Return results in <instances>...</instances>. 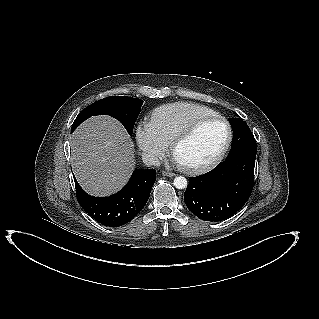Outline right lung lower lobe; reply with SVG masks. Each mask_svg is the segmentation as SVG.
<instances>
[{
  "mask_svg": "<svg viewBox=\"0 0 319 319\" xmlns=\"http://www.w3.org/2000/svg\"><path fill=\"white\" fill-rule=\"evenodd\" d=\"M156 180L154 169L135 170L127 185L118 193L104 198L86 194L76 179V196L81 207L93 219L108 227L130 222L143 209Z\"/></svg>",
  "mask_w": 319,
  "mask_h": 319,
  "instance_id": "98d812e1",
  "label": "right lung lower lobe"
}]
</instances>
